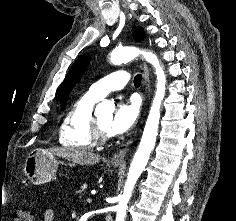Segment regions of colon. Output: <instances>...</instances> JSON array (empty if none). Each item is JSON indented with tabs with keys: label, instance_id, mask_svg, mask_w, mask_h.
I'll list each match as a JSON object with an SVG mask.
<instances>
[{
	"label": "colon",
	"instance_id": "obj_1",
	"mask_svg": "<svg viewBox=\"0 0 236 221\" xmlns=\"http://www.w3.org/2000/svg\"><path fill=\"white\" fill-rule=\"evenodd\" d=\"M12 221H34V216L31 210L19 208L15 211Z\"/></svg>",
	"mask_w": 236,
	"mask_h": 221
}]
</instances>
